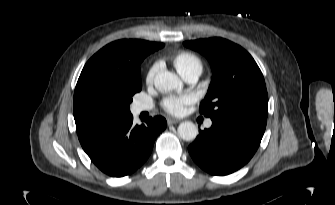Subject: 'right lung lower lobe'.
<instances>
[{
  "instance_id": "98d812e1",
  "label": "right lung lower lobe",
  "mask_w": 335,
  "mask_h": 205,
  "mask_svg": "<svg viewBox=\"0 0 335 205\" xmlns=\"http://www.w3.org/2000/svg\"><path fill=\"white\" fill-rule=\"evenodd\" d=\"M162 116L134 125L132 114L78 134L82 148L104 173L122 177L133 173L149 157L155 139L166 128Z\"/></svg>"
}]
</instances>
